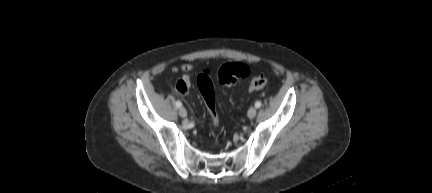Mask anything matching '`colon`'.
Segmentation results:
<instances>
[{
    "instance_id": "1",
    "label": "colon",
    "mask_w": 432,
    "mask_h": 193,
    "mask_svg": "<svg viewBox=\"0 0 432 193\" xmlns=\"http://www.w3.org/2000/svg\"><path fill=\"white\" fill-rule=\"evenodd\" d=\"M249 67L243 63H227L222 65L217 72V80L222 85H232L238 80L249 75ZM198 88L206 103L212 124L214 127L219 125V114L216 105V98L212 80L209 72L201 73L197 80ZM267 84V78L264 75H258L251 79L249 84L250 91H258Z\"/></svg>"
}]
</instances>
